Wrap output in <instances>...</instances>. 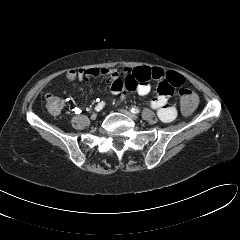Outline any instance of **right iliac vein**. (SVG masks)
Listing matches in <instances>:
<instances>
[{
    "label": "right iliac vein",
    "instance_id": "63e3f726",
    "mask_svg": "<svg viewBox=\"0 0 240 240\" xmlns=\"http://www.w3.org/2000/svg\"><path fill=\"white\" fill-rule=\"evenodd\" d=\"M92 120H95L97 118V114L96 113H93L90 117Z\"/></svg>",
    "mask_w": 240,
    "mask_h": 240
}]
</instances>
